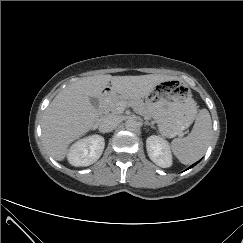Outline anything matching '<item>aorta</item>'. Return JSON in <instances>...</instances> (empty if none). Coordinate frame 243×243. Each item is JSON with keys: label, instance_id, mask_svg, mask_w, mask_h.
<instances>
[{"label": "aorta", "instance_id": "1", "mask_svg": "<svg viewBox=\"0 0 243 243\" xmlns=\"http://www.w3.org/2000/svg\"><path fill=\"white\" fill-rule=\"evenodd\" d=\"M125 128L129 131H134L138 128V122L135 121L134 119H128L125 122Z\"/></svg>", "mask_w": 243, "mask_h": 243}]
</instances>
